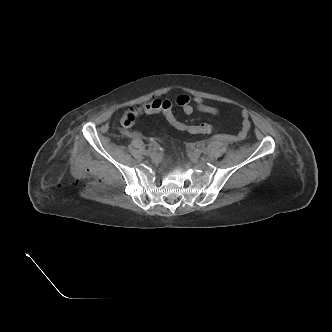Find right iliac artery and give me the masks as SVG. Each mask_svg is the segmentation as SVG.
Wrapping results in <instances>:
<instances>
[{
    "mask_svg": "<svg viewBox=\"0 0 332 332\" xmlns=\"http://www.w3.org/2000/svg\"><path fill=\"white\" fill-rule=\"evenodd\" d=\"M152 149H153V145L150 143V144L147 145L145 151L147 152V151L152 150Z\"/></svg>",
    "mask_w": 332,
    "mask_h": 332,
    "instance_id": "1",
    "label": "right iliac artery"
}]
</instances>
